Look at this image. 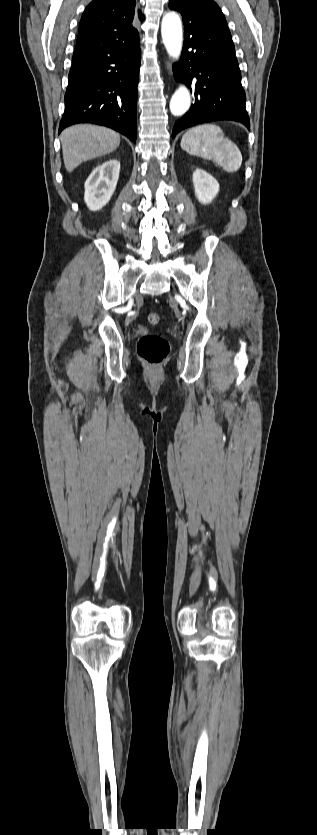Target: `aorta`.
<instances>
[{"label": "aorta", "mask_w": 317, "mask_h": 835, "mask_svg": "<svg viewBox=\"0 0 317 835\" xmlns=\"http://www.w3.org/2000/svg\"><path fill=\"white\" fill-rule=\"evenodd\" d=\"M161 34L167 53L173 59L178 60L182 49L183 33L180 17L176 13L168 12L163 16ZM190 105L189 90L186 86L180 85L170 101L171 114L182 116L188 111Z\"/></svg>", "instance_id": "762f6f07"}]
</instances>
